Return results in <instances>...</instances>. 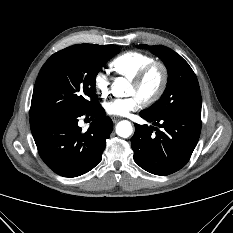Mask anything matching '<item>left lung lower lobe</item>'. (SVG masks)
Segmentation results:
<instances>
[{
	"mask_svg": "<svg viewBox=\"0 0 233 233\" xmlns=\"http://www.w3.org/2000/svg\"><path fill=\"white\" fill-rule=\"evenodd\" d=\"M140 116L161 129L135 125L131 138L135 162L155 175L180 170L190 159L200 136L201 113L175 112L160 118ZM153 130L156 132L153 133Z\"/></svg>",
	"mask_w": 233,
	"mask_h": 233,
	"instance_id": "obj_1",
	"label": "left lung lower lobe"
}]
</instances>
